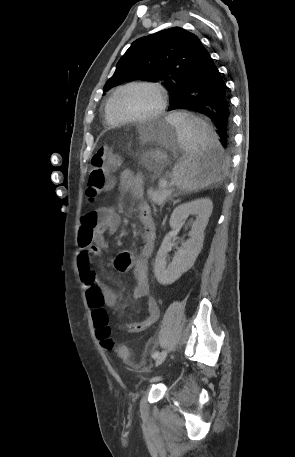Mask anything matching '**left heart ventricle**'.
<instances>
[{
    "label": "left heart ventricle",
    "mask_w": 295,
    "mask_h": 457,
    "mask_svg": "<svg viewBox=\"0 0 295 457\" xmlns=\"http://www.w3.org/2000/svg\"><path fill=\"white\" fill-rule=\"evenodd\" d=\"M158 103V95L153 88L133 86L117 95L115 110L123 117H141L153 112Z\"/></svg>",
    "instance_id": "b2bd125f"
}]
</instances>
